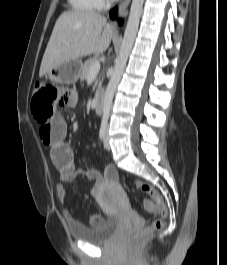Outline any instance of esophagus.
Masks as SVG:
<instances>
[{"label": "esophagus", "mask_w": 227, "mask_h": 265, "mask_svg": "<svg viewBox=\"0 0 227 265\" xmlns=\"http://www.w3.org/2000/svg\"><path fill=\"white\" fill-rule=\"evenodd\" d=\"M131 0H123V2L119 6V15L123 16L127 13L128 7L130 4ZM113 25H116V22L113 21Z\"/></svg>", "instance_id": "obj_1"}]
</instances>
